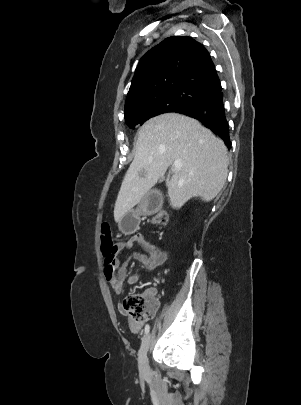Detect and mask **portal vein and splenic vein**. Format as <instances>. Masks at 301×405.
<instances>
[{
  "instance_id": "obj_1",
  "label": "portal vein and splenic vein",
  "mask_w": 301,
  "mask_h": 405,
  "mask_svg": "<svg viewBox=\"0 0 301 405\" xmlns=\"http://www.w3.org/2000/svg\"><path fill=\"white\" fill-rule=\"evenodd\" d=\"M173 166L179 167V166H181V162L179 160H176V161H174Z\"/></svg>"
}]
</instances>
